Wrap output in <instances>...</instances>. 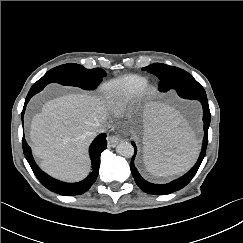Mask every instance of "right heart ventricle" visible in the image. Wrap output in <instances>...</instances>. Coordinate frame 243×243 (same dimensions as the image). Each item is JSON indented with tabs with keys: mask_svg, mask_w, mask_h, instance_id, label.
Listing matches in <instances>:
<instances>
[{
	"mask_svg": "<svg viewBox=\"0 0 243 243\" xmlns=\"http://www.w3.org/2000/svg\"><path fill=\"white\" fill-rule=\"evenodd\" d=\"M147 84L146 78L129 74L108 83L106 92L113 100H116L120 104H126L141 94Z\"/></svg>",
	"mask_w": 243,
	"mask_h": 243,
	"instance_id": "1",
	"label": "right heart ventricle"
}]
</instances>
